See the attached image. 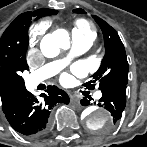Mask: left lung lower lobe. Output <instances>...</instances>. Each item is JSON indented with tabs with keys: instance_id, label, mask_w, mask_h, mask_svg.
I'll return each instance as SVG.
<instances>
[{
	"instance_id": "left-lung-lower-lobe-1",
	"label": "left lung lower lobe",
	"mask_w": 147,
	"mask_h": 147,
	"mask_svg": "<svg viewBox=\"0 0 147 147\" xmlns=\"http://www.w3.org/2000/svg\"><path fill=\"white\" fill-rule=\"evenodd\" d=\"M101 91L102 97L99 100L98 105L106 108L111 113L113 116L112 123L115 124L122 117L126 105V85H111ZM81 104L87 106L89 101L86 98H83Z\"/></svg>"
}]
</instances>
